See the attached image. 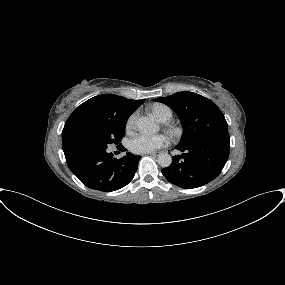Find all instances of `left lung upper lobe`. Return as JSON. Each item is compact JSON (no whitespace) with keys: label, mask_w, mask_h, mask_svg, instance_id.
<instances>
[{"label":"left lung upper lobe","mask_w":285,"mask_h":285,"mask_svg":"<svg viewBox=\"0 0 285 285\" xmlns=\"http://www.w3.org/2000/svg\"><path fill=\"white\" fill-rule=\"evenodd\" d=\"M155 101L168 105L179 116L184 131L178 146L207 139L230 143L223 113L204 96L193 92H178L168 97H159Z\"/></svg>","instance_id":"left-lung-upper-lobe-1"}]
</instances>
